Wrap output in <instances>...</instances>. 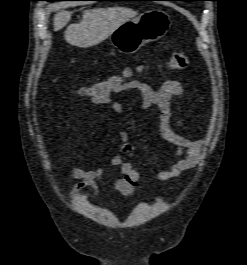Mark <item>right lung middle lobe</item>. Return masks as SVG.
Masks as SVG:
<instances>
[{"label": "right lung middle lobe", "mask_w": 247, "mask_h": 265, "mask_svg": "<svg viewBox=\"0 0 247 265\" xmlns=\"http://www.w3.org/2000/svg\"><path fill=\"white\" fill-rule=\"evenodd\" d=\"M46 1H55V0H46Z\"/></svg>", "instance_id": "obj_1"}]
</instances>
